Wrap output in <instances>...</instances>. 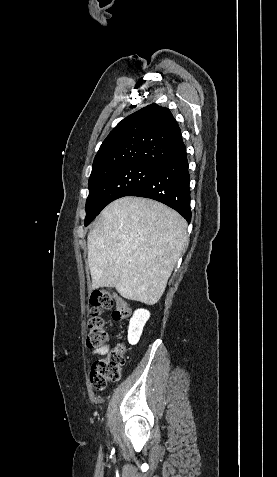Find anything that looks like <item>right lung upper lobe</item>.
I'll return each instance as SVG.
<instances>
[{"label":"right lung upper lobe","instance_id":"obj_1","mask_svg":"<svg viewBox=\"0 0 277 477\" xmlns=\"http://www.w3.org/2000/svg\"><path fill=\"white\" fill-rule=\"evenodd\" d=\"M184 148L171 112L151 104L123 119L110 132L94 159L92 173L128 163L158 166Z\"/></svg>","mask_w":277,"mask_h":477}]
</instances>
